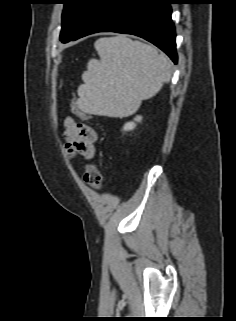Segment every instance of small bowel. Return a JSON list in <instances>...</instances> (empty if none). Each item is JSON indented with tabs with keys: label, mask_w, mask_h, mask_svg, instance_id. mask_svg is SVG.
Here are the masks:
<instances>
[{
	"label": "small bowel",
	"mask_w": 236,
	"mask_h": 321,
	"mask_svg": "<svg viewBox=\"0 0 236 321\" xmlns=\"http://www.w3.org/2000/svg\"><path fill=\"white\" fill-rule=\"evenodd\" d=\"M63 124V136L67 151L70 154L92 158L96 153L95 144L98 140L96 131L83 122L75 121L72 117H66Z\"/></svg>",
	"instance_id": "c3829d8e"
}]
</instances>
